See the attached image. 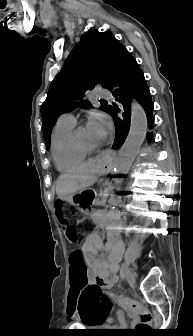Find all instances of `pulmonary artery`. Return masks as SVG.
Wrapping results in <instances>:
<instances>
[{
  "instance_id": "e3ab8cb5",
  "label": "pulmonary artery",
  "mask_w": 193,
  "mask_h": 336,
  "mask_svg": "<svg viewBox=\"0 0 193 336\" xmlns=\"http://www.w3.org/2000/svg\"><path fill=\"white\" fill-rule=\"evenodd\" d=\"M98 96L99 97H103V98H107L109 100H111V94L108 90L104 89V88H98ZM58 123L60 124H65V123H71V124H75V118L69 114H63L62 116H60V118L58 119Z\"/></svg>"
}]
</instances>
